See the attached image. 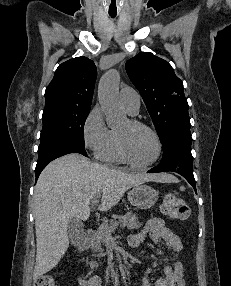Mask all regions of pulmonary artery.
Returning a JSON list of instances; mask_svg holds the SVG:
<instances>
[{"mask_svg": "<svg viewBox=\"0 0 231 286\" xmlns=\"http://www.w3.org/2000/svg\"><path fill=\"white\" fill-rule=\"evenodd\" d=\"M120 102L124 109L130 114L135 115L140 109V96L132 88H123L120 91Z\"/></svg>", "mask_w": 231, "mask_h": 286, "instance_id": "pulmonary-artery-1", "label": "pulmonary artery"}]
</instances>
